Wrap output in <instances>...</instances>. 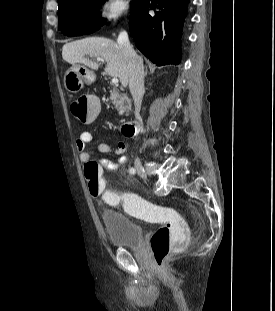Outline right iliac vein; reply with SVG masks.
I'll list each match as a JSON object with an SVG mask.
<instances>
[{
    "instance_id": "right-iliac-vein-1",
    "label": "right iliac vein",
    "mask_w": 275,
    "mask_h": 311,
    "mask_svg": "<svg viewBox=\"0 0 275 311\" xmlns=\"http://www.w3.org/2000/svg\"><path fill=\"white\" fill-rule=\"evenodd\" d=\"M134 164H135V168H136V170H137V173H138L141 177L146 178L147 175H146L145 169H144V167H143L141 161H140L139 159H136L135 162H134Z\"/></svg>"
}]
</instances>
